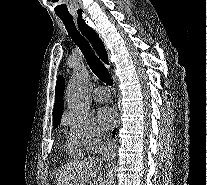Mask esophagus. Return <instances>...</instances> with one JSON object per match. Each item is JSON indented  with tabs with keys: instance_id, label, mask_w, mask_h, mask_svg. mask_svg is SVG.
<instances>
[{
	"instance_id": "obj_1",
	"label": "esophagus",
	"mask_w": 207,
	"mask_h": 185,
	"mask_svg": "<svg viewBox=\"0 0 207 185\" xmlns=\"http://www.w3.org/2000/svg\"><path fill=\"white\" fill-rule=\"evenodd\" d=\"M75 14H86V9H75ZM75 20H78L76 25L79 30H96L92 25H89V19H86V15H75ZM84 37L89 38L88 42L93 43V48H105V43H101L103 42L101 39L103 37L102 33H85ZM97 55H107L99 56V61H107V66H110V54L108 50H97Z\"/></svg>"
}]
</instances>
